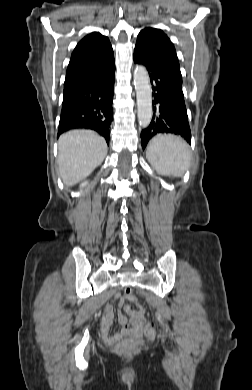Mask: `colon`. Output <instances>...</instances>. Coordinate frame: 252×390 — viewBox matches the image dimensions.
Here are the masks:
<instances>
[{"label":"colon","instance_id":"colon-1","mask_svg":"<svg viewBox=\"0 0 252 390\" xmlns=\"http://www.w3.org/2000/svg\"><path fill=\"white\" fill-rule=\"evenodd\" d=\"M124 295L127 298H132V292L129 288H126L124 290ZM153 329L152 324H148L146 328L147 333H151ZM142 337L139 335H136L135 337L131 339H127L119 343L116 347V349L121 353H132L134 352L141 344Z\"/></svg>","mask_w":252,"mask_h":390}]
</instances>
